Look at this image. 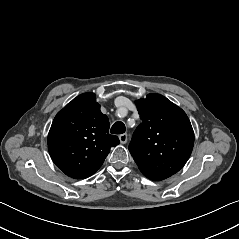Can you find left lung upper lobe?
I'll list each match as a JSON object with an SVG mask.
<instances>
[{
    "mask_svg": "<svg viewBox=\"0 0 239 239\" xmlns=\"http://www.w3.org/2000/svg\"><path fill=\"white\" fill-rule=\"evenodd\" d=\"M142 123L129 145L141 172L177 173L187 162L194 132L186 113L160 94L136 101Z\"/></svg>",
    "mask_w": 239,
    "mask_h": 239,
    "instance_id": "obj_1",
    "label": "left lung upper lobe"
}]
</instances>
